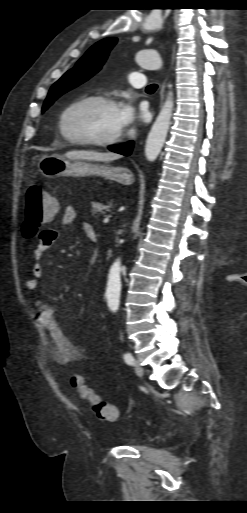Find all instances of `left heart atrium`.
Instances as JSON below:
<instances>
[{
  "instance_id": "obj_1",
  "label": "left heart atrium",
  "mask_w": 247,
  "mask_h": 513,
  "mask_svg": "<svg viewBox=\"0 0 247 513\" xmlns=\"http://www.w3.org/2000/svg\"><path fill=\"white\" fill-rule=\"evenodd\" d=\"M117 116L121 129L132 125L136 120V112L130 102H124L117 107Z\"/></svg>"
}]
</instances>
